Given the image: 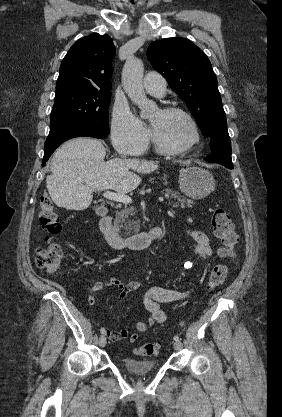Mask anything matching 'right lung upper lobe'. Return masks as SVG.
Returning <instances> with one entry per match:
<instances>
[{
	"instance_id": "obj_1",
	"label": "right lung upper lobe",
	"mask_w": 282,
	"mask_h": 417,
	"mask_svg": "<svg viewBox=\"0 0 282 417\" xmlns=\"http://www.w3.org/2000/svg\"><path fill=\"white\" fill-rule=\"evenodd\" d=\"M115 46L107 35L91 34L76 41L62 60L56 92L78 89L110 91Z\"/></svg>"
}]
</instances>
